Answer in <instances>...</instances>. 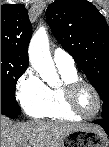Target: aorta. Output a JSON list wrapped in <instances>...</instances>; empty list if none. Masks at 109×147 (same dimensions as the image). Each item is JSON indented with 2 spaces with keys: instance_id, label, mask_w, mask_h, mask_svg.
<instances>
[{
  "instance_id": "762f6f07",
  "label": "aorta",
  "mask_w": 109,
  "mask_h": 147,
  "mask_svg": "<svg viewBox=\"0 0 109 147\" xmlns=\"http://www.w3.org/2000/svg\"><path fill=\"white\" fill-rule=\"evenodd\" d=\"M29 60L33 68L50 86L55 85L59 77L49 50V38L44 27H40L32 36L29 44Z\"/></svg>"
}]
</instances>
